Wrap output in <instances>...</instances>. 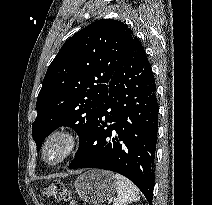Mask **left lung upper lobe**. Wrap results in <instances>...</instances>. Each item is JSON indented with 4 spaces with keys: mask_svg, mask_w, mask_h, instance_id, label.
<instances>
[{
    "mask_svg": "<svg viewBox=\"0 0 212 205\" xmlns=\"http://www.w3.org/2000/svg\"><path fill=\"white\" fill-rule=\"evenodd\" d=\"M134 34L121 21L102 19L70 37L51 62L37 98L32 136L41 144L60 126L72 127L84 146L108 97L109 81Z\"/></svg>",
    "mask_w": 212,
    "mask_h": 205,
    "instance_id": "obj_1",
    "label": "left lung upper lobe"
}]
</instances>
